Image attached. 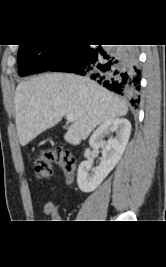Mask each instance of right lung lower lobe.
<instances>
[{
  "mask_svg": "<svg viewBox=\"0 0 166 267\" xmlns=\"http://www.w3.org/2000/svg\"><path fill=\"white\" fill-rule=\"evenodd\" d=\"M134 47L104 49L101 46L70 45L49 70L87 75L107 89L138 103L140 70Z\"/></svg>",
  "mask_w": 166,
  "mask_h": 267,
  "instance_id": "98d812e1",
  "label": "right lung lower lobe"
}]
</instances>
